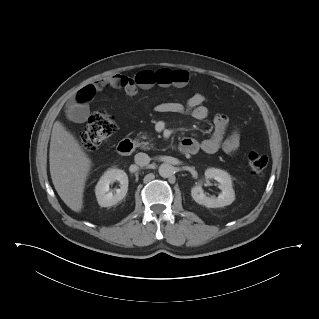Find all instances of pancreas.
I'll return each instance as SVG.
<instances>
[{"label":"pancreas","mask_w":319,"mask_h":319,"mask_svg":"<svg viewBox=\"0 0 319 319\" xmlns=\"http://www.w3.org/2000/svg\"><path fill=\"white\" fill-rule=\"evenodd\" d=\"M141 138L142 139H146L147 137H146V135H142L141 136ZM136 146L137 147H140L141 149H143V150H150L151 148H154V144L153 143H151V142H144V141H142V142H136Z\"/></svg>","instance_id":"1"}]
</instances>
